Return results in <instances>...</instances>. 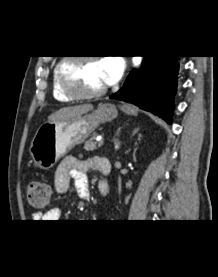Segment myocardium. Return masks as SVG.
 Instances as JSON below:
<instances>
[{"mask_svg":"<svg viewBox=\"0 0 218 277\" xmlns=\"http://www.w3.org/2000/svg\"><path fill=\"white\" fill-rule=\"evenodd\" d=\"M84 61H97V58L93 56L66 57L56 65L59 88L65 95L72 99L96 98L102 96L107 91L106 86L91 92H84L78 89L74 79L69 75L67 68L72 63H81Z\"/></svg>","mask_w":218,"mask_h":277,"instance_id":"f54148a6","label":"myocardium"}]
</instances>
